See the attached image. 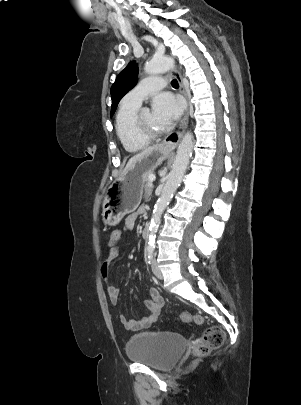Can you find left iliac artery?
<instances>
[{
    "label": "left iliac artery",
    "instance_id": "1",
    "mask_svg": "<svg viewBox=\"0 0 301 405\" xmlns=\"http://www.w3.org/2000/svg\"><path fill=\"white\" fill-rule=\"evenodd\" d=\"M153 252H154V247H152V246L147 247V257H148L149 263L153 258Z\"/></svg>",
    "mask_w": 301,
    "mask_h": 405
}]
</instances>
